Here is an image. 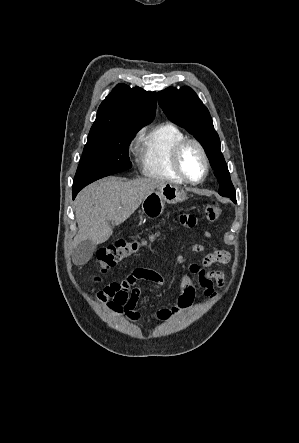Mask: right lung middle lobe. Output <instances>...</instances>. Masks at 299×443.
I'll list each match as a JSON object with an SVG mask.
<instances>
[{"label": "right lung middle lobe", "mask_w": 299, "mask_h": 443, "mask_svg": "<svg viewBox=\"0 0 299 443\" xmlns=\"http://www.w3.org/2000/svg\"><path fill=\"white\" fill-rule=\"evenodd\" d=\"M142 126L89 135L74 178L73 191H80L100 178L130 169L129 144Z\"/></svg>", "instance_id": "right-lung-middle-lobe-1"}]
</instances>
